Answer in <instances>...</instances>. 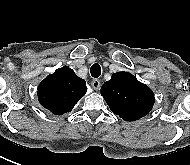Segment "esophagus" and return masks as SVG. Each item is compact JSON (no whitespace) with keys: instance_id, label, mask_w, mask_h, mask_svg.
I'll return each mask as SVG.
<instances>
[{"instance_id":"esophagus-1","label":"esophagus","mask_w":190,"mask_h":165,"mask_svg":"<svg viewBox=\"0 0 190 165\" xmlns=\"http://www.w3.org/2000/svg\"><path fill=\"white\" fill-rule=\"evenodd\" d=\"M94 90L98 91L101 87V83L98 79H94L91 83Z\"/></svg>"}]
</instances>
